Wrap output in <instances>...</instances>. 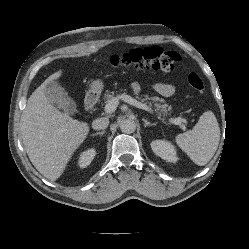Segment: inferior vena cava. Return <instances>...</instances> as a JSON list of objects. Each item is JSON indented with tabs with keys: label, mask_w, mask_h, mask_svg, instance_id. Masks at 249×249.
I'll return each instance as SVG.
<instances>
[{
	"label": "inferior vena cava",
	"mask_w": 249,
	"mask_h": 249,
	"mask_svg": "<svg viewBox=\"0 0 249 249\" xmlns=\"http://www.w3.org/2000/svg\"><path fill=\"white\" fill-rule=\"evenodd\" d=\"M109 124V119L106 117L95 119L92 122V128L95 130L106 129Z\"/></svg>",
	"instance_id": "inferior-vena-cava-1"
}]
</instances>
